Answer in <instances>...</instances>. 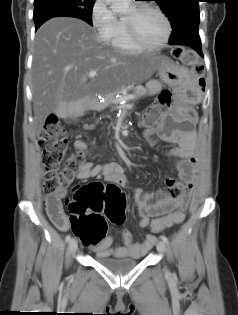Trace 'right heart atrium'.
<instances>
[{
  "mask_svg": "<svg viewBox=\"0 0 238 315\" xmlns=\"http://www.w3.org/2000/svg\"><path fill=\"white\" fill-rule=\"evenodd\" d=\"M90 21L99 37L107 40L113 32L117 18L106 0H94L90 9Z\"/></svg>",
  "mask_w": 238,
  "mask_h": 315,
  "instance_id": "d8ad5b80",
  "label": "right heart atrium"
}]
</instances>
